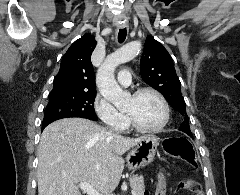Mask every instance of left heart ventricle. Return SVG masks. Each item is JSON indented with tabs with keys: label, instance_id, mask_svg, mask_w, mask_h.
I'll return each mask as SVG.
<instances>
[{
	"label": "left heart ventricle",
	"instance_id": "obj_1",
	"mask_svg": "<svg viewBox=\"0 0 240 195\" xmlns=\"http://www.w3.org/2000/svg\"><path fill=\"white\" fill-rule=\"evenodd\" d=\"M123 111L130 113L143 127L156 126L160 123L163 114L160 101L151 93H145L137 98H128Z\"/></svg>",
	"mask_w": 240,
	"mask_h": 195
}]
</instances>
